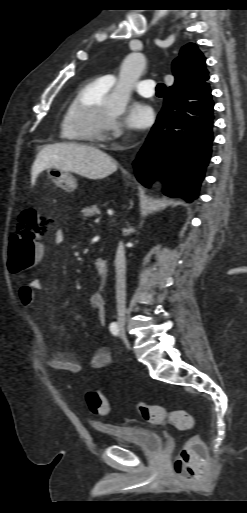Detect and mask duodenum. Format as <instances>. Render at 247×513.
<instances>
[{
    "label": "duodenum",
    "instance_id": "410a0bca",
    "mask_svg": "<svg viewBox=\"0 0 247 513\" xmlns=\"http://www.w3.org/2000/svg\"><path fill=\"white\" fill-rule=\"evenodd\" d=\"M95 271L100 281H104L107 277V261L103 257L96 258L94 262Z\"/></svg>",
    "mask_w": 247,
    "mask_h": 513
}]
</instances>
